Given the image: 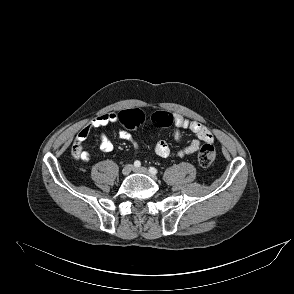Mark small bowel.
Here are the masks:
<instances>
[{
  "label": "small bowel",
  "mask_w": 294,
  "mask_h": 294,
  "mask_svg": "<svg viewBox=\"0 0 294 294\" xmlns=\"http://www.w3.org/2000/svg\"><path fill=\"white\" fill-rule=\"evenodd\" d=\"M174 121L173 124L176 127V130L174 132V140L176 142H180L182 139V130L187 129L193 132L196 135V138L193 139L187 146L179 149L177 151V155L179 157L188 156L191 154H194L197 152L201 146L202 142L205 143H211L213 141V135L211 131L202 123L189 120L185 118L181 114H174ZM119 122V114L115 112L105 113L98 117H96L94 120L90 122L89 125L84 127L78 134L77 140L81 144V142L85 141V139L88 137V134L91 130V128H101L106 127L108 125L114 124ZM119 138L122 140L131 142L135 148L139 147V143L135 140V138L132 136L130 132H128L125 129H120L118 133ZM99 149L102 152H110L113 150V144L110 141V139L103 133L99 136ZM82 147L80 146V150ZM154 150L156 154L162 158H166L170 156L171 154V148L169 144L164 141L160 140L158 141L155 146ZM80 158L85 161L89 162L91 160V155L89 152L81 151Z\"/></svg>",
  "instance_id": "small-bowel-1"
}]
</instances>
